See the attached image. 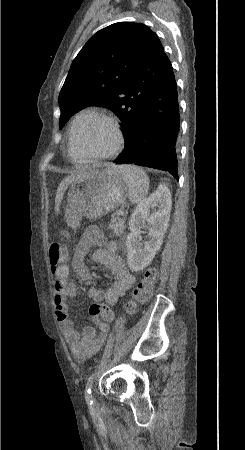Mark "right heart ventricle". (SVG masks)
I'll return each mask as SVG.
<instances>
[{"mask_svg":"<svg viewBox=\"0 0 245 450\" xmlns=\"http://www.w3.org/2000/svg\"><path fill=\"white\" fill-rule=\"evenodd\" d=\"M94 113H96L94 110L86 109V110H83V111L79 112V113L76 115L75 118H81V119H84V118H87V117L91 116V115L94 114ZM68 154H69L70 158H71L73 161H77V162H78V161H82V160H83V159L79 158L74 152L71 151L70 143H69V142H68Z\"/></svg>","mask_w":245,"mask_h":450,"instance_id":"e07e8e85","label":"right heart ventricle"}]
</instances>
